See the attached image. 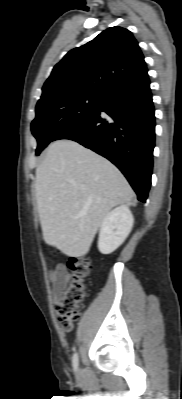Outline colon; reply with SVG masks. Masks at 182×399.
Masks as SVG:
<instances>
[{
    "mask_svg": "<svg viewBox=\"0 0 182 399\" xmlns=\"http://www.w3.org/2000/svg\"><path fill=\"white\" fill-rule=\"evenodd\" d=\"M68 268L72 273V280L65 289L56 305V318L66 331H70L73 323L79 317V307L87 294L86 278L92 270L88 257L73 258Z\"/></svg>",
    "mask_w": 182,
    "mask_h": 399,
    "instance_id": "colon-1",
    "label": "colon"
}]
</instances>
